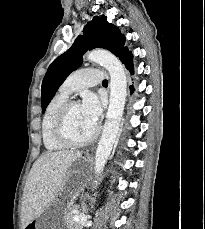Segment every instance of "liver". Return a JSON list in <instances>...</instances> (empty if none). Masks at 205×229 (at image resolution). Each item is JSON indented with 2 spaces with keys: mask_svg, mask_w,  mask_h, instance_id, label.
<instances>
[{
  "mask_svg": "<svg viewBox=\"0 0 205 229\" xmlns=\"http://www.w3.org/2000/svg\"><path fill=\"white\" fill-rule=\"evenodd\" d=\"M81 156V151L63 150L46 153L38 158L29 173L23 193V228L56 200L66 184L70 166Z\"/></svg>",
  "mask_w": 205,
  "mask_h": 229,
  "instance_id": "1",
  "label": "liver"
}]
</instances>
